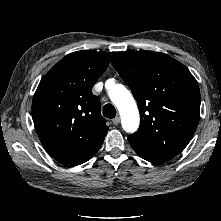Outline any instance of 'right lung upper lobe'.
<instances>
[{
    "instance_id": "right-lung-upper-lobe-1",
    "label": "right lung upper lobe",
    "mask_w": 221,
    "mask_h": 221,
    "mask_svg": "<svg viewBox=\"0 0 221 221\" xmlns=\"http://www.w3.org/2000/svg\"><path fill=\"white\" fill-rule=\"evenodd\" d=\"M107 52L82 50L60 60L40 81L33 122L45 150L67 165L88 161L108 131L92 87L109 64Z\"/></svg>"
}]
</instances>
